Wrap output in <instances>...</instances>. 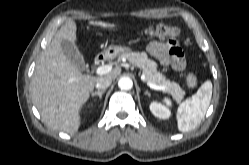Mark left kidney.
Wrapping results in <instances>:
<instances>
[{"instance_id":"left-kidney-1","label":"left kidney","mask_w":249,"mask_h":165,"mask_svg":"<svg viewBox=\"0 0 249 165\" xmlns=\"http://www.w3.org/2000/svg\"><path fill=\"white\" fill-rule=\"evenodd\" d=\"M152 114L160 119H168L171 116V111L158 102L150 104Z\"/></svg>"}]
</instances>
